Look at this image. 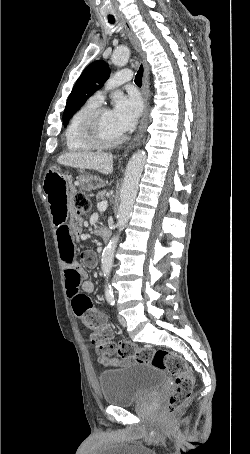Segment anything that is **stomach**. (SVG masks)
I'll use <instances>...</instances> for the list:
<instances>
[{"instance_id":"stomach-1","label":"stomach","mask_w":250,"mask_h":454,"mask_svg":"<svg viewBox=\"0 0 250 454\" xmlns=\"http://www.w3.org/2000/svg\"><path fill=\"white\" fill-rule=\"evenodd\" d=\"M45 176H70V175L67 173H62L60 167L53 166L46 172ZM82 178H83V183L85 184V187L88 189H95V188L99 187V185H100L99 179L92 175L85 174V175H83ZM43 187H44V185H43Z\"/></svg>"}]
</instances>
